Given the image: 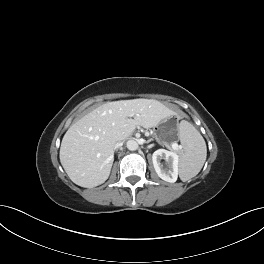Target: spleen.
<instances>
[{"mask_svg": "<svg viewBox=\"0 0 264 264\" xmlns=\"http://www.w3.org/2000/svg\"><path fill=\"white\" fill-rule=\"evenodd\" d=\"M178 127V136L183 147V151L179 153V177L182 181H187L202 169L207 148L204 138L190 122L182 120Z\"/></svg>", "mask_w": 264, "mask_h": 264, "instance_id": "obj_1", "label": "spleen"}]
</instances>
